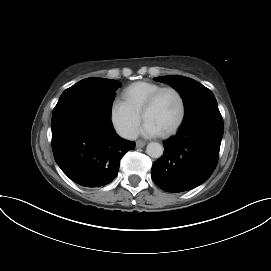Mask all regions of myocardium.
<instances>
[{
	"mask_svg": "<svg viewBox=\"0 0 271 271\" xmlns=\"http://www.w3.org/2000/svg\"><path fill=\"white\" fill-rule=\"evenodd\" d=\"M167 91H171L173 92L178 100H179V116L175 122V124L166 132L162 133L163 136H171L173 135L181 126V124L183 123V120L185 118V113H186V106H185V100L184 97L182 95V93L175 87L172 86H167V87H161L160 89H158L157 91H155L145 102V104L142 107L141 110V116L143 119H145V115L147 114L148 111H150L153 106L155 105V103L157 102L159 96Z\"/></svg>",
	"mask_w": 271,
	"mask_h": 271,
	"instance_id": "1",
	"label": "myocardium"
}]
</instances>
